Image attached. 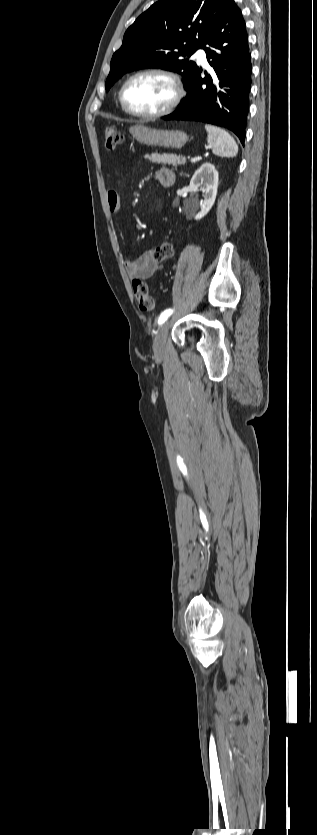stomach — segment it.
I'll list each match as a JSON object with an SVG mask.
<instances>
[{
	"mask_svg": "<svg viewBox=\"0 0 317 835\" xmlns=\"http://www.w3.org/2000/svg\"><path fill=\"white\" fill-rule=\"evenodd\" d=\"M133 138L143 145L182 148L188 141V135L180 130H157L143 125H135L130 128Z\"/></svg>",
	"mask_w": 317,
	"mask_h": 835,
	"instance_id": "1",
	"label": "stomach"
}]
</instances>
